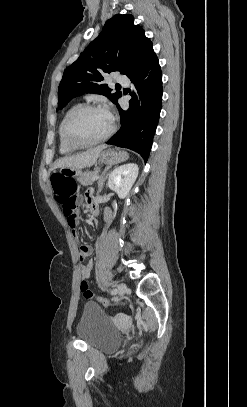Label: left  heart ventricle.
Returning a JSON list of instances; mask_svg holds the SVG:
<instances>
[{"label":"left heart ventricle","mask_w":247,"mask_h":407,"mask_svg":"<svg viewBox=\"0 0 247 407\" xmlns=\"http://www.w3.org/2000/svg\"><path fill=\"white\" fill-rule=\"evenodd\" d=\"M111 126L109 115L103 110H86L72 121L70 134L78 142H90L104 136Z\"/></svg>","instance_id":"left-heart-ventricle-1"}]
</instances>
